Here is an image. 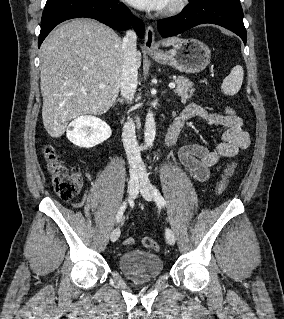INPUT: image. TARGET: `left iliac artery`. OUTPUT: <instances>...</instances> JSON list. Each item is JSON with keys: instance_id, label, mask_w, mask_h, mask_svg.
<instances>
[{"instance_id": "left-iliac-artery-1", "label": "left iliac artery", "mask_w": 284, "mask_h": 319, "mask_svg": "<svg viewBox=\"0 0 284 319\" xmlns=\"http://www.w3.org/2000/svg\"><path fill=\"white\" fill-rule=\"evenodd\" d=\"M153 189V196L155 201L157 202L158 205L161 206H165L166 205V201L164 200V198L162 197L161 193L158 191V189L155 186H152Z\"/></svg>"}]
</instances>
